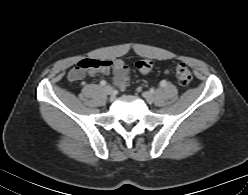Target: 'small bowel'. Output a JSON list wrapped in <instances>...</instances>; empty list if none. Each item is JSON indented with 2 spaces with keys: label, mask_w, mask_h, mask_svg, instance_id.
Here are the masks:
<instances>
[{
  "label": "small bowel",
  "mask_w": 248,
  "mask_h": 195,
  "mask_svg": "<svg viewBox=\"0 0 248 195\" xmlns=\"http://www.w3.org/2000/svg\"><path fill=\"white\" fill-rule=\"evenodd\" d=\"M94 68L88 73L95 75L98 73L108 74L113 72V84L118 87L119 80L128 75V67L121 59H91Z\"/></svg>",
  "instance_id": "1"
}]
</instances>
